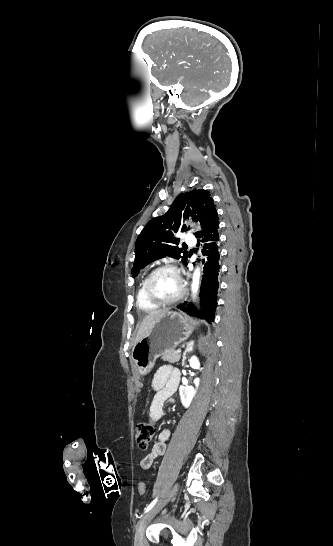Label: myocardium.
Wrapping results in <instances>:
<instances>
[{
    "label": "myocardium",
    "mask_w": 333,
    "mask_h": 546,
    "mask_svg": "<svg viewBox=\"0 0 333 546\" xmlns=\"http://www.w3.org/2000/svg\"><path fill=\"white\" fill-rule=\"evenodd\" d=\"M164 270H171V271H174L180 278V281H181V290L179 292V294L177 296H175L174 298L172 299H169V300H162V299H159L158 297H156L152 291H151V281L153 279V277L161 272V271H164ZM144 292H145V296L146 298L153 304L157 305V306H166V305H171V304H174L176 302H178L179 300H181L185 293H186V285H185V282L184 280L182 279V276H181V272L179 270V268L174 265V264H163V265H160L158 267H156L154 270H152L149 275L146 277V280H145V283H144Z\"/></svg>",
    "instance_id": "1"
}]
</instances>
